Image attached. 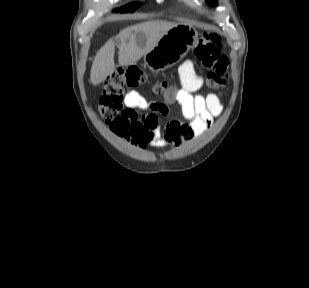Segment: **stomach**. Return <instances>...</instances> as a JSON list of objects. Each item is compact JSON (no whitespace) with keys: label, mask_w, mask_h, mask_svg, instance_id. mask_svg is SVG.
<instances>
[{"label":"stomach","mask_w":309,"mask_h":288,"mask_svg":"<svg viewBox=\"0 0 309 288\" xmlns=\"http://www.w3.org/2000/svg\"><path fill=\"white\" fill-rule=\"evenodd\" d=\"M197 41L195 27L188 23H178L144 55V63L152 71L165 70L185 57Z\"/></svg>","instance_id":"obj_1"}]
</instances>
